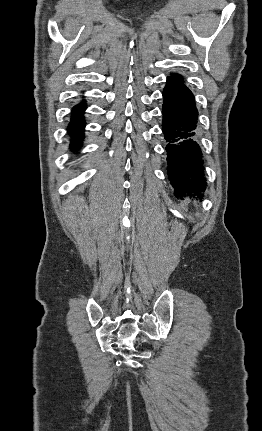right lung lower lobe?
<instances>
[{"mask_svg": "<svg viewBox=\"0 0 262 431\" xmlns=\"http://www.w3.org/2000/svg\"><path fill=\"white\" fill-rule=\"evenodd\" d=\"M86 109L84 103L76 105L72 112V119L68 126L69 134L72 138L71 148L79 149L81 146V140L83 137V129L85 127V121L83 117V111Z\"/></svg>", "mask_w": 262, "mask_h": 431, "instance_id": "1", "label": "right lung lower lobe"}]
</instances>
